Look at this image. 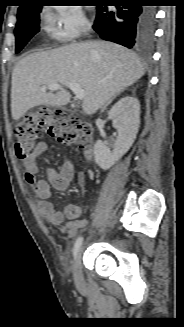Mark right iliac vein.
<instances>
[{"label":"right iliac vein","mask_w":184,"mask_h":327,"mask_svg":"<svg viewBox=\"0 0 184 327\" xmlns=\"http://www.w3.org/2000/svg\"><path fill=\"white\" fill-rule=\"evenodd\" d=\"M81 250L82 249H80L77 254L75 265H74V279L77 286H80L83 283V275L81 269Z\"/></svg>","instance_id":"right-iliac-vein-1"}]
</instances>
